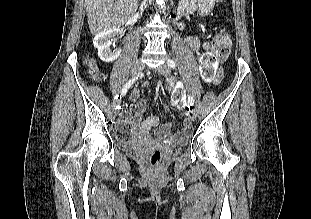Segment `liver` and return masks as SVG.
<instances>
[{
	"instance_id": "obj_1",
	"label": "liver",
	"mask_w": 311,
	"mask_h": 219,
	"mask_svg": "<svg viewBox=\"0 0 311 219\" xmlns=\"http://www.w3.org/2000/svg\"><path fill=\"white\" fill-rule=\"evenodd\" d=\"M138 3L139 0H85L90 32L97 35L119 28L135 14Z\"/></svg>"
}]
</instances>
